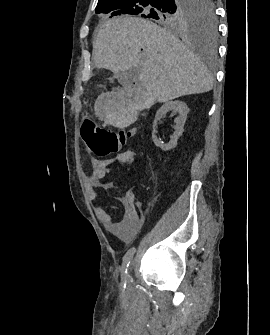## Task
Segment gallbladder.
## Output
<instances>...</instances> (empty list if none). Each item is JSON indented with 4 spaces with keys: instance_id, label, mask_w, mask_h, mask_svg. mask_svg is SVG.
Masks as SVG:
<instances>
[{
    "instance_id": "bac80fb5",
    "label": "gallbladder",
    "mask_w": 270,
    "mask_h": 335,
    "mask_svg": "<svg viewBox=\"0 0 270 335\" xmlns=\"http://www.w3.org/2000/svg\"><path fill=\"white\" fill-rule=\"evenodd\" d=\"M126 74H122V78H125Z\"/></svg>"
}]
</instances>
